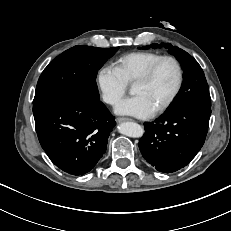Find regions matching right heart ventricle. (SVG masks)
Instances as JSON below:
<instances>
[{
  "mask_svg": "<svg viewBox=\"0 0 231 231\" xmlns=\"http://www.w3.org/2000/svg\"><path fill=\"white\" fill-rule=\"evenodd\" d=\"M161 56L159 53L148 51L131 52L118 58L114 62V68L127 84L133 83L148 66Z\"/></svg>",
  "mask_w": 231,
  "mask_h": 231,
  "instance_id": "e07e8e85",
  "label": "right heart ventricle"
}]
</instances>
